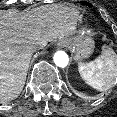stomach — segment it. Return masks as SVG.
I'll return each mask as SVG.
<instances>
[{
  "mask_svg": "<svg viewBox=\"0 0 117 117\" xmlns=\"http://www.w3.org/2000/svg\"><path fill=\"white\" fill-rule=\"evenodd\" d=\"M66 42L73 50L76 60L88 57L94 49V41L88 36L77 35L66 39Z\"/></svg>",
  "mask_w": 117,
  "mask_h": 117,
  "instance_id": "stomach-1",
  "label": "stomach"
}]
</instances>
